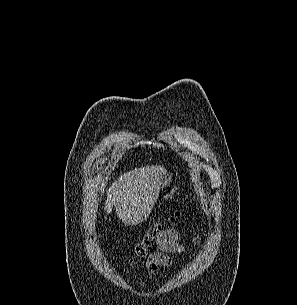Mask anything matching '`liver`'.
Wrapping results in <instances>:
<instances>
[{
    "label": "liver",
    "mask_w": 297,
    "mask_h": 305,
    "mask_svg": "<svg viewBox=\"0 0 297 305\" xmlns=\"http://www.w3.org/2000/svg\"><path fill=\"white\" fill-rule=\"evenodd\" d=\"M166 173L160 165L135 168L124 173L107 190L104 210L110 214L114 206L118 218L126 225L142 223L156 203Z\"/></svg>",
    "instance_id": "liver-1"
}]
</instances>
